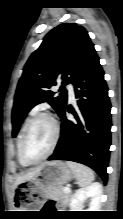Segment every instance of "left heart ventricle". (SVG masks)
<instances>
[{"label":"left heart ventricle","instance_id":"left-heart-ventricle-1","mask_svg":"<svg viewBox=\"0 0 123 219\" xmlns=\"http://www.w3.org/2000/svg\"><path fill=\"white\" fill-rule=\"evenodd\" d=\"M53 138L51 123L45 118L33 121L24 140V152L30 160H37L48 150Z\"/></svg>","mask_w":123,"mask_h":219}]
</instances>
